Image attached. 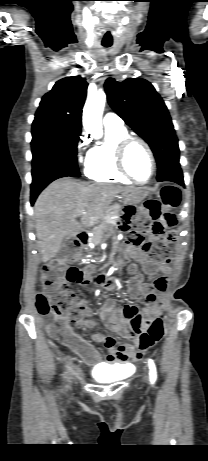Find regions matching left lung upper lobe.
I'll return each mask as SVG.
<instances>
[{
  "mask_svg": "<svg viewBox=\"0 0 208 461\" xmlns=\"http://www.w3.org/2000/svg\"><path fill=\"white\" fill-rule=\"evenodd\" d=\"M113 110L151 147L158 165L157 179L180 166L178 140L168 109L153 85L142 78L105 82Z\"/></svg>",
  "mask_w": 208,
  "mask_h": 461,
  "instance_id": "obj_1",
  "label": "left lung upper lobe"
}]
</instances>
